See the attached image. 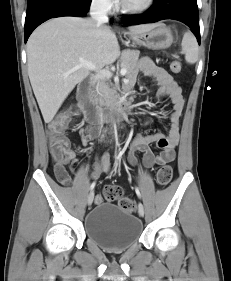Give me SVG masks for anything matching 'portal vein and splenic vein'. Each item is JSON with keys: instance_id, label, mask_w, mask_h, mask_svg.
Instances as JSON below:
<instances>
[{"instance_id": "1", "label": "portal vein and splenic vein", "mask_w": 231, "mask_h": 281, "mask_svg": "<svg viewBox=\"0 0 231 281\" xmlns=\"http://www.w3.org/2000/svg\"><path fill=\"white\" fill-rule=\"evenodd\" d=\"M80 65L79 67H88L89 69H92V70H95L96 69V66L94 64H92L91 62H88L86 60H83V59H80ZM102 73L107 76V77H111L112 76V73L110 71H107V70H103ZM127 73V69L126 68H122L120 70V75L121 76H125Z\"/></svg>"}]
</instances>
